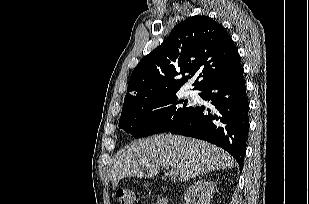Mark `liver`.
Returning a JSON list of instances; mask_svg holds the SVG:
<instances>
[{
    "instance_id": "liver-1",
    "label": "liver",
    "mask_w": 309,
    "mask_h": 204,
    "mask_svg": "<svg viewBox=\"0 0 309 204\" xmlns=\"http://www.w3.org/2000/svg\"><path fill=\"white\" fill-rule=\"evenodd\" d=\"M234 159L205 141L170 134L139 139L129 145L111 172L113 189L124 177L153 178L160 166L170 167L180 181L234 167Z\"/></svg>"
}]
</instances>
